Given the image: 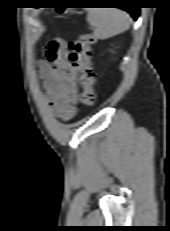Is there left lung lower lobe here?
<instances>
[{"label": "left lung lower lobe", "instance_id": "obj_1", "mask_svg": "<svg viewBox=\"0 0 170 231\" xmlns=\"http://www.w3.org/2000/svg\"><path fill=\"white\" fill-rule=\"evenodd\" d=\"M119 8L126 10L131 14L134 20H137L139 16V7L135 6L134 2H124V3H119ZM126 5H128L126 7Z\"/></svg>", "mask_w": 170, "mask_h": 231}]
</instances>
